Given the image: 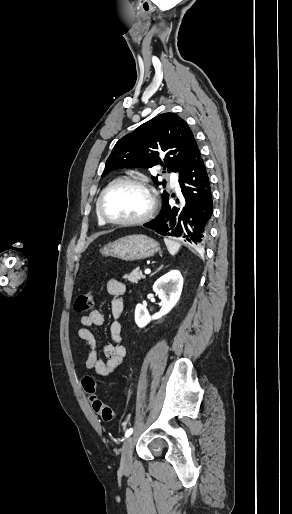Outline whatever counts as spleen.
<instances>
[{
    "label": "spleen",
    "instance_id": "spleen-1",
    "mask_svg": "<svg viewBox=\"0 0 292 514\" xmlns=\"http://www.w3.org/2000/svg\"><path fill=\"white\" fill-rule=\"evenodd\" d=\"M168 252H170L171 256H175L177 252H179L181 248V244H178V242H174V240H168V238H165L164 240Z\"/></svg>",
    "mask_w": 292,
    "mask_h": 514
}]
</instances>
